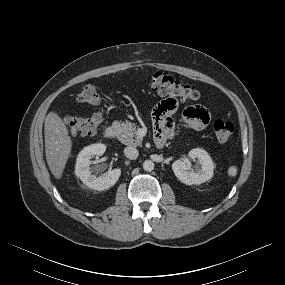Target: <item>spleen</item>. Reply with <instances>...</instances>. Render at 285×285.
I'll list each match as a JSON object with an SVG mask.
<instances>
[{
	"mask_svg": "<svg viewBox=\"0 0 285 285\" xmlns=\"http://www.w3.org/2000/svg\"><path fill=\"white\" fill-rule=\"evenodd\" d=\"M227 173H228L229 176L235 177L237 175V167L236 166H230L228 168Z\"/></svg>",
	"mask_w": 285,
	"mask_h": 285,
	"instance_id": "3e777b00",
	"label": "spleen"
}]
</instances>
